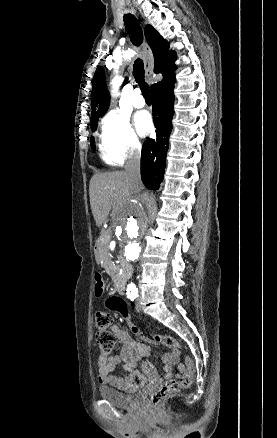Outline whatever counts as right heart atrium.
<instances>
[{"mask_svg": "<svg viewBox=\"0 0 277 438\" xmlns=\"http://www.w3.org/2000/svg\"><path fill=\"white\" fill-rule=\"evenodd\" d=\"M106 131L122 160L140 153L142 142L124 114H117L106 126Z\"/></svg>", "mask_w": 277, "mask_h": 438, "instance_id": "d8ad5b80", "label": "right heart atrium"}]
</instances>
